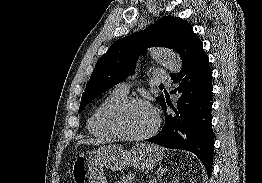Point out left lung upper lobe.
<instances>
[{"mask_svg":"<svg viewBox=\"0 0 262 183\" xmlns=\"http://www.w3.org/2000/svg\"><path fill=\"white\" fill-rule=\"evenodd\" d=\"M149 47L175 50L180 54L183 65L203 48V44L188 22L174 16H164L145 30L117 40L96 63L82 94L79 112L100 93L132 75L138 56ZM156 100L161 104L164 97L158 96Z\"/></svg>","mask_w":262,"mask_h":183,"instance_id":"obj_1","label":"left lung upper lobe"}]
</instances>
